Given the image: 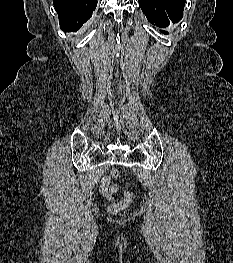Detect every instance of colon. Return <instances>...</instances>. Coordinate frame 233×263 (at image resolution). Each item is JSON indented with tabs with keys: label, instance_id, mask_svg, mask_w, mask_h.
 Returning <instances> with one entry per match:
<instances>
[{
	"label": "colon",
	"instance_id": "1",
	"mask_svg": "<svg viewBox=\"0 0 233 263\" xmlns=\"http://www.w3.org/2000/svg\"><path fill=\"white\" fill-rule=\"evenodd\" d=\"M111 175L114 178H117L118 177V171L116 169H113L111 171ZM132 199H133L132 194L130 192L125 191L123 199L119 202H116V203H113L112 205H110L109 211L113 214H116V213L124 210L125 208H127L131 204Z\"/></svg>",
	"mask_w": 233,
	"mask_h": 263
}]
</instances>
